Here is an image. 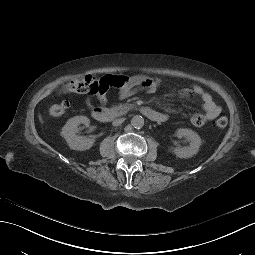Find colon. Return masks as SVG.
Returning <instances> with one entry per match:
<instances>
[{"label":"colon","instance_id":"colon-1","mask_svg":"<svg viewBox=\"0 0 255 255\" xmlns=\"http://www.w3.org/2000/svg\"><path fill=\"white\" fill-rule=\"evenodd\" d=\"M131 78L128 76H113L106 75L101 78L94 76H86L81 79L70 81L62 86L61 94L68 93H96L99 91H106L111 87L125 88L129 85ZM69 106L67 103H55L49 107V114L52 117H62L67 113ZM228 117L226 113L219 114L214 122L218 129H223L227 126Z\"/></svg>","mask_w":255,"mask_h":255}]
</instances>
